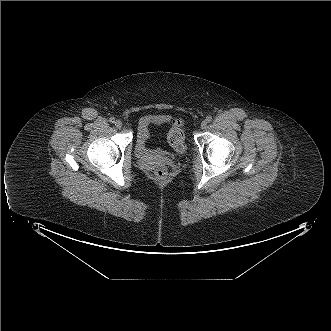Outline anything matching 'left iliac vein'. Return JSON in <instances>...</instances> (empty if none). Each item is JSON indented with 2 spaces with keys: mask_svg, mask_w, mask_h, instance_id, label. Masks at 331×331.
<instances>
[{
  "mask_svg": "<svg viewBox=\"0 0 331 331\" xmlns=\"http://www.w3.org/2000/svg\"><path fill=\"white\" fill-rule=\"evenodd\" d=\"M201 129H205L207 127V122L206 121H202L200 124Z\"/></svg>",
  "mask_w": 331,
  "mask_h": 331,
  "instance_id": "1",
  "label": "left iliac vein"
}]
</instances>
